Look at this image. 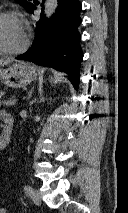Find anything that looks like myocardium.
Masks as SVG:
<instances>
[{
    "instance_id": "f54148a6",
    "label": "myocardium",
    "mask_w": 128,
    "mask_h": 213,
    "mask_svg": "<svg viewBox=\"0 0 128 213\" xmlns=\"http://www.w3.org/2000/svg\"><path fill=\"white\" fill-rule=\"evenodd\" d=\"M5 18H17L19 19V14L16 11L12 10H5L0 12V21ZM30 43V34L26 30L25 40L21 46L15 49H6L0 46V55H16L19 54L27 49Z\"/></svg>"
}]
</instances>
